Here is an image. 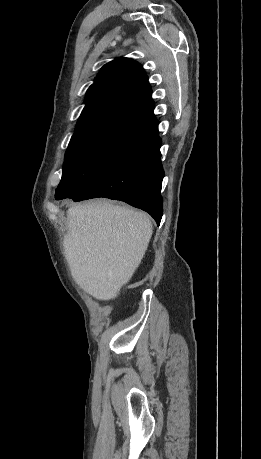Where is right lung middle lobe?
<instances>
[{"instance_id": "right-lung-middle-lobe-1", "label": "right lung middle lobe", "mask_w": 261, "mask_h": 459, "mask_svg": "<svg viewBox=\"0 0 261 459\" xmlns=\"http://www.w3.org/2000/svg\"><path fill=\"white\" fill-rule=\"evenodd\" d=\"M153 129L145 125H112L71 138L55 198L60 200L82 193L140 145Z\"/></svg>"}]
</instances>
